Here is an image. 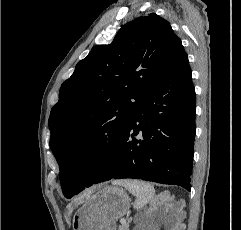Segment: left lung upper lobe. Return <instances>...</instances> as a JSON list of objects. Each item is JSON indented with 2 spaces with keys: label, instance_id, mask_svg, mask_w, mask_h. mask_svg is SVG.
<instances>
[{
  "label": "left lung upper lobe",
  "instance_id": "left-lung-upper-lobe-1",
  "mask_svg": "<svg viewBox=\"0 0 241 230\" xmlns=\"http://www.w3.org/2000/svg\"><path fill=\"white\" fill-rule=\"evenodd\" d=\"M168 21L155 13L125 24L109 45L94 46L60 88L49 117L50 147L67 198L74 164L99 140L115 142L147 92L184 54Z\"/></svg>",
  "mask_w": 241,
  "mask_h": 230
}]
</instances>
